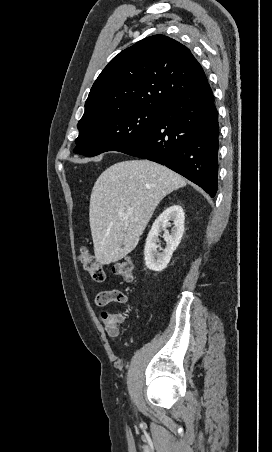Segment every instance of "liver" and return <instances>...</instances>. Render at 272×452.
I'll list each match as a JSON object with an SVG mask.
<instances>
[{
	"label": "liver",
	"instance_id": "1",
	"mask_svg": "<svg viewBox=\"0 0 272 452\" xmlns=\"http://www.w3.org/2000/svg\"><path fill=\"white\" fill-rule=\"evenodd\" d=\"M185 185L182 176L149 160H126L107 168L90 197L89 222L97 262L108 265L133 251L160 201Z\"/></svg>",
	"mask_w": 272,
	"mask_h": 452
}]
</instances>
